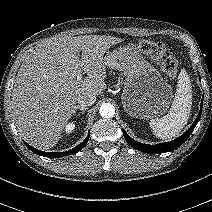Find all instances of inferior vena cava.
Masks as SVG:
<instances>
[{
  "label": "inferior vena cava",
  "instance_id": "602c4592",
  "mask_svg": "<svg viewBox=\"0 0 212 212\" xmlns=\"http://www.w3.org/2000/svg\"><path fill=\"white\" fill-rule=\"evenodd\" d=\"M77 101L81 106L87 107L95 103L96 95L92 93H82L78 95Z\"/></svg>",
  "mask_w": 212,
  "mask_h": 212
}]
</instances>
